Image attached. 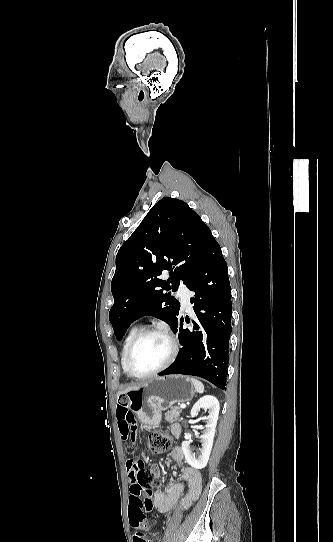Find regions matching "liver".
I'll list each match as a JSON object with an SVG mask.
<instances>
[{"instance_id":"1","label":"liver","mask_w":333,"mask_h":542,"mask_svg":"<svg viewBox=\"0 0 333 542\" xmlns=\"http://www.w3.org/2000/svg\"><path fill=\"white\" fill-rule=\"evenodd\" d=\"M141 386H130V388H125V390H121V392H118L117 396H121V394H127V392H131V390H138V388H141Z\"/></svg>"}]
</instances>
